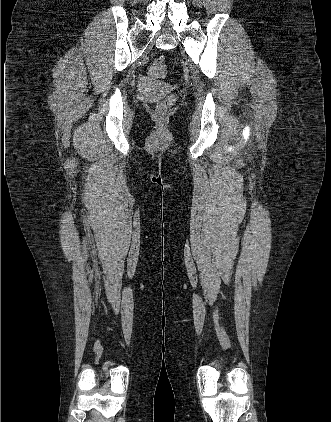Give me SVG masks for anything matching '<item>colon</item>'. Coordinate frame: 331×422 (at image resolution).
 I'll use <instances>...</instances> for the list:
<instances>
[{"label": "colon", "instance_id": "obj_1", "mask_svg": "<svg viewBox=\"0 0 331 422\" xmlns=\"http://www.w3.org/2000/svg\"><path fill=\"white\" fill-rule=\"evenodd\" d=\"M165 73L166 65L160 59L151 62L147 69V75L152 78H161L165 75ZM173 102V96H169L166 99L160 101L155 108V114L157 116L165 115L172 106Z\"/></svg>", "mask_w": 331, "mask_h": 422}]
</instances>
